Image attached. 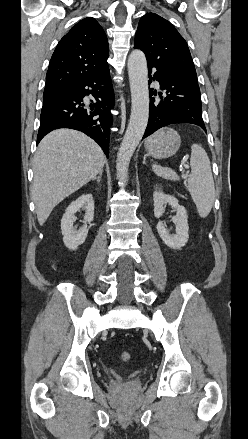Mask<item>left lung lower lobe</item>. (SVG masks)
<instances>
[{"mask_svg":"<svg viewBox=\"0 0 248 439\" xmlns=\"http://www.w3.org/2000/svg\"><path fill=\"white\" fill-rule=\"evenodd\" d=\"M155 71L153 78L159 81L161 91L150 90V110L148 125L143 138L156 130L177 123H190L200 126L205 132L202 119L201 95L197 83L180 78L148 63V74ZM151 82V81H150ZM149 82V83H150ZM160 96V101L152 95Z\"/></svg>","mask_w":248,"mask_h":439,"instance_id":"left-lung-lower-lobe-1","label":"left lung lower lobe"}]
</instances>
